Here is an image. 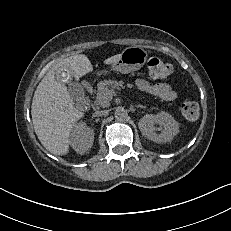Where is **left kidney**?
<instances>
[{
	"label": "left kidney",
	"instance_id": "1",
	"mask_svg": "<svg viewBox=\"0 0 231 231\" xmlns=\"http://www.w3.org/2000/svg\"><path fill=\"white\" fill-rule=\"evenodd\" d=\"M160 127L156 128L154 125ZM142 134L156 143L167 142L173 139L179 133L178 122L167 112H160L157 115L147 114L143 116L138 123ZM161 130L157 133L156 130Z\"/></svg>",
	"mask_w": 231,
	"mask_h": 231
}]
</instances>
